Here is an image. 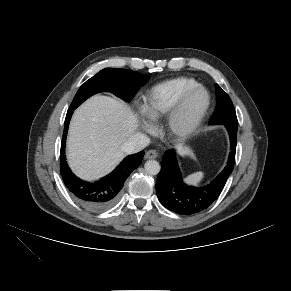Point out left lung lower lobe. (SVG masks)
<instances>
[{
	"label": "left lung lower lobe",
	"mask_w": 291,
	"mask_h": 291,
	"mask_svg": "<svg viewBox=\"0 0 291 291\" xmlns=\"http://www.w3.org/2000/svg\"><path fill=\"white\" fill-rule=\"evenodd\" d=\"M227 128L231 142V152L227 166L206 186L187 185L181 178L174 150H168L161 162L162 168L156 181V193L161 204L181 215H192L207 209L220 195L230 176L235 162L238 123L224 120L219 123Z\"/></svg>",
	"instance_id": "obj_1"
}]
</instances>
